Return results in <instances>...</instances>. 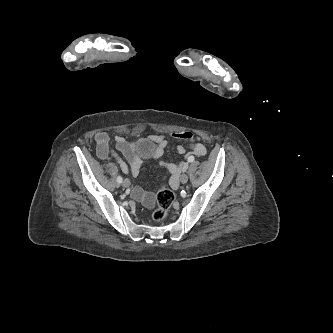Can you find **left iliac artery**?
I'll use <instances>...</instances> for the list:
<instances>
[{
	"mask_svg": "<svg viewBox=\"0 0 333 333\" xmlns=\"http://www.w3.org/2000/svg\"><path fill=\"white\" fill-rule=\"evenodd\" d=\"M193 160H194V159L191 158V159H190V162H193ZM186 170H187V167H185L183 171H186Z\"/></svg>",
	"mask_w": 333,
	"mask_h": 333,
	"instance_id": "1",
	"label": "left iliac artery"
}]
</instances>
